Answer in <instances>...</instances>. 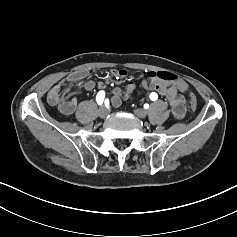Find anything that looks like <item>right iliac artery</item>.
<instances>
[{
	"label": "right iliac artery",
	"instance_id": "1",
	"mask_svg": "<svg viewBox=\"0 0 237 237\" xmlns=\"http://www.w3.org/2000/svg\"><path fill=\"white\" fill-rule=\"evenodd\" d=\"M105 98V92L104 91H99L97 96H96V101L99 105L103 104Z\"/></svg>",
	"mask_w": 237,
	"mask_h": 237
}]
</instances>
